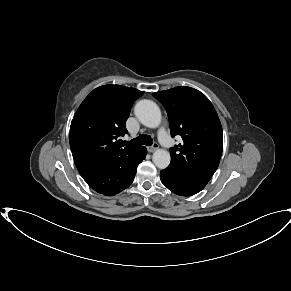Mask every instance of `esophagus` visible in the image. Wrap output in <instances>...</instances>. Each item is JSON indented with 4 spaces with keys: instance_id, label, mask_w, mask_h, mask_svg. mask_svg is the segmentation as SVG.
Here are the masks:
<instances>
[{
    "instance_id": "obj_1",
    "label": "esophagus",
    "mask_w": 291,
    "mask_h": 291,
    "mask_svg": "<svg viewBox=\"0 0 291 291\" xmlns=\"http://www.w3.org/2000/svg\"><path fill=\"white\" fill-rule=\"evenodd\" d=\"M158 144L157 143H153V145L152 146H150V147H147V150H148V152H154L155 150H157L158 149Z\"/></svg>"
}]
</instances>
